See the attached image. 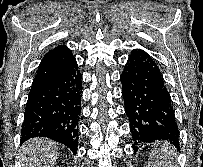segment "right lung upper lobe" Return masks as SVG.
Wrapping results in <instances>:
<instances>
[{"mask_svg": "<svg viewBox=\"0 0 203 167\" xmlns=\"http://www.w3.org/2000/svg\"><path fill=\"white\" fill-rule=\"evenodd\" d=\"M74 57L66 46H57L45 54L38 67L32 87L42 85L47 80L60 73Z\"/></svg>", "mask_w": 203, "mask_h": 167, "instance_id": "right-lung-upper-lobe-1", "label": "right lung upper lobe"}]
</instances>
